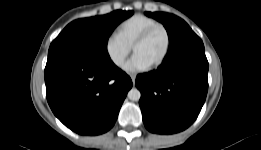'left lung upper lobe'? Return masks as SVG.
I'll list each match as a JSON object with an SVG mask.
<instances>
[{
    "label": "left lung upper lobe",
    "instance_id": "1",
    "mask_svg": "<svg viewBox=\"0 0 261 150\" xmlns=\"http://www.w3.org/2000/svg\"><path fill=\"white\" fill-rule=\"evenodd\" d=\"M145 14L164 25L169 36L170 47L173 46L182 36L192 32L191 28L184 20L173 14L165 12H146Z\"/></svg>",
    "mask_w": 261,
    "mask_h": 150
}]
</instances>
